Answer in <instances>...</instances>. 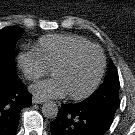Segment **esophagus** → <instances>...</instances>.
<instances>
[{
    "instance_id": "obj_1",
    "label": "esophagus",
    "mask_w": 135,
    "mask_h": 135,
    "mask_svg": "<svg viewBox=\"0 0 135 135\" xmlns=\"http://www.w3.org/2000/svg\"><path fill=\"white\" fill-rule=\"evenodd\" d=\"M44 102H45V100L40 99V98H38V97H36V96H33V98H32V103H35V104H42V103H44Z\"/></svg>"
}]
</instances>
